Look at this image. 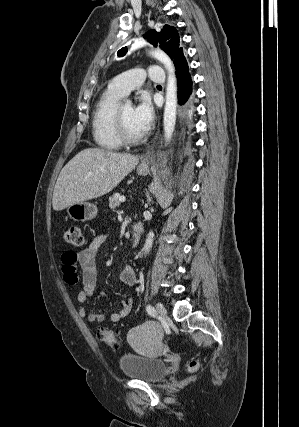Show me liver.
<instances>
[{
    "label": "liver",
    "mask_w": 299,
    "mask_h": 427,
    "mask_svg": "<svg viewBox=\"0 0 299 427\" xmlns=\"http://www.w3.org/2000/svg\"><path fill=\"white\" fill-rule=\"evenodd\" d=\"M139 162V157L98 148L76 154L61 170L52 205L55 211L101 197L113 190Z\"/></svg>",
    "instance_id": "1"
}]
</instances>
